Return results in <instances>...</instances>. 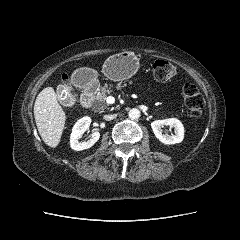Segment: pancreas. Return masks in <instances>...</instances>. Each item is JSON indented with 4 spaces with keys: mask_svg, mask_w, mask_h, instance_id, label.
<instances>
[{
    "mask_svg": "<svg viewBox=\"0 0 240 240\" xmlns=\"http://www.w3.org/2000/svg\"><path fill=\"white\" fill-rule=\"evenodd\" d=\"M130 84L132 82H129ZM126 86V85H124ZM122 87L121 83L117 85V89ZM113 85L110 84L109 86L105 84L104 86L100 87L99 91L95 95V99L93 101V109L95 111L103 112L106 109H109V105L106 104L107 95L112 92Z\"/></svg>",
    "mask_w": 240,
    "mask_h": 240,
    "instance_id": "1",
    "label": "pancreas"
}]
</instances>
